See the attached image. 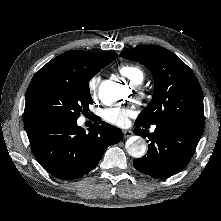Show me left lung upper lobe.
Instances as JSON below:
<instances>
[{
	"instance_id": "5c2ea615",
	"label": "left lung upper lobe",
	"mask_w": 221,
	"mask_h": 221,
	"mask_svg": "<svg viewBox=\"0 0 221 221\" xmlns=\"http://www.w3.org/2000/svg\"><path fill=\"white\" fill-rule=\"evenodd\" d=\"M120 56L146 66L155 81L152 100L136 122L174 124L203 131L202 89L192 70L180 58L157 45L126 49Z\"/></svg>"
}]
</instances>
